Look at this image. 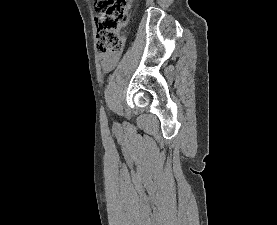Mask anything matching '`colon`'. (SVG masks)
Masks as SVG:
<instances>
[{
	"label": "colon",
	"mask_w": 277,
	"mask_h": 225,
	"mask_svg": "<svg viewBox=\"0 0 277 225\" xmlns=\"http://www.w3.org/2000/svg\"><path fill=\"white\" fill-rule=\"evenodd\" d=\"M132 0H93L99 13L95 20L96 47L103 55H113L122 49L123 37L120 32L129 21Z\"/></svg>",
	"instance_id": "5ec220e1"
}]
</instances>
